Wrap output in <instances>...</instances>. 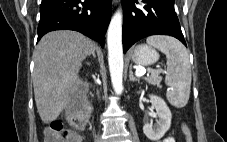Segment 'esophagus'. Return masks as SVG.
I'll return each instance as SVG.
<instances>
[{
    "label": "esophagus",
    "instance_id": "34e87169",
    "mask_svg": "<svg viewBox=\"0 0 227 142\" xmlns=\"http://www.w3.org/2000/svg\"><path fill=\"white\" fill-rule=\"evenodd\" d=\"M117 3V0H113V4L115 5Z\"/></svg>",
    "mask_w": 227,
    "mask_h": 142
}]
</instances>
